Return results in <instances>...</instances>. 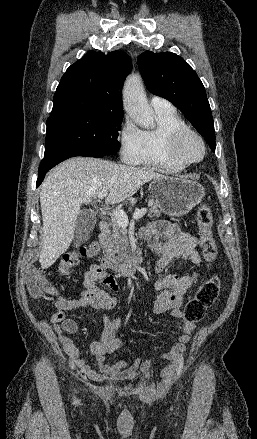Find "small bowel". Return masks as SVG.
Wrapping results in <instances>:
<instances>
[{
	"label": "small bowel",
	"instance_id": "c3829d8e",
	"mask_svg": "<svg viewBox=\"0 0 257 439\" xmlns=\"http://www.w3.org/2000/svg\"><path fill=\"white\" fill-rule=\"evenodd\" d=\"M140 235L151 250L158 255L154 265V288L159 291V294L153 303V313L170 312L173 317L182 318L180 308L184 297L198 279L199 273L196 271L185 276L174 274L162 276L161 273L175 258H182L193 266L199 267L201 258L196 250L197 237L182 231L178 225L168 221H156L143 228ZM161 237L163 241L160 240ZM83 284L85 289L78 299H66L57 291L54 293L57 311L50 320L59 334L65 353L79 367L82 374L93 381L132 380L140 373L149 372L152 367L151 359L136 358L129 361L120 358L113 362L107 360V355L116 354L123 346V342L117 338L122 323L120 319L109 314V311L116 306L117 299L100 288V285H104L110 291L115 292L118 288L115 278L101 267L93 265L85 273ZM76 309H96L103 312L102 338L88 348V354L94 359L97 370L82 356V351L73 341L61 334L62 332L73 334L78 331L77 322L68 317V313ZM184 330L185 333L178 338V341L161 355V358L168 362L163 369L164 377L171 376L182 363L194 324L186 325Z\"/></svg>",
	"mask_w": 257,
	"mask_h": 439
}]
</instances>
